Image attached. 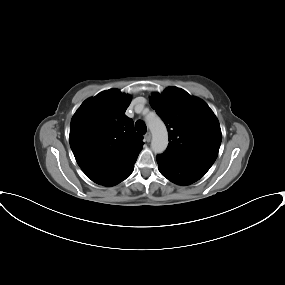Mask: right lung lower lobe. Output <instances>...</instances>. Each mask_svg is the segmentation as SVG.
<instances>
[{"instance_id":"1","label":"right lung lower lobe","mask_w":285,"mask_h":285,"mask_svg":"<svg viewBox=\"0 0 285 285\" xmlns=\"http://www.w3.org/2000/svg\"><path fill=\"white\" fill-rule=\"evenodd\" d=\"M135 163V162H134ZM134 163L131 164L126 170H124L118 177H116L114 180H112L110 183H108L105 186H114L120 182H122L123 180H125L126 178H128L131 173L133 172L134 169Z\"/></svg>"}]
</instances>
